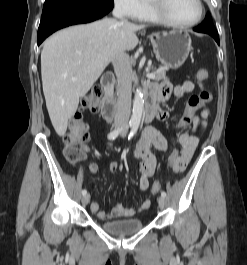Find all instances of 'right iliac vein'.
Returning <instances> with one entry per match:
<instances>
[{
  "mask_svg": "<svg viewBox=\"0 0 247 265\" xmlns=\"http://www.w3.org/2000/svg\"><path fill=\"white\" fill-rule=\"evenodd\" d=\"M89 201H90V195L89 194L83 195V197H82L83 205H87L89 203Z\"/></svg>",
  "mask_w": 247,
  "mask_h": 265,
  "instance_id": "right-iliac-vein-1",
  "label": "right iliac vein"
}]
</instances>
